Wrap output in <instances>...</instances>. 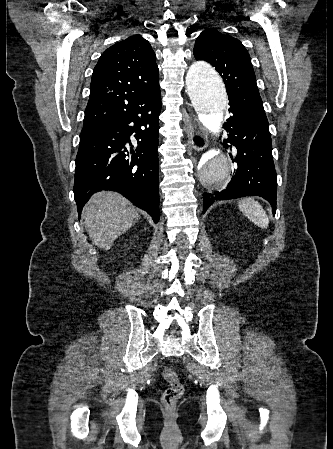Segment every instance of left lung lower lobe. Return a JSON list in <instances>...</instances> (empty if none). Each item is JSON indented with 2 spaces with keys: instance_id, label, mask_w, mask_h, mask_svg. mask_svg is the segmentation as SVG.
Masks as SVG:
<instances>
[{
  "instance_id": "obj_1",
  "label": "left lung lower lobe",
  "mask_w": 333,
  "mask_h": 449,
  "mask_svg": "<svg viewBox=\"0 0 333 449\" xmlns=\"http://www.w3.org/2000/svg\"><path fill=\"white\" fill-rule=\"evenodd\" d=\"M229 105L231 116L224 129L229 132L228 142L236 148L234 154H230L235 171L226 189L203 194V213L215 200L256 195L269 201L275 214L277 174L267 117L236 100H230Z\"/></svg>"
}]
</instances>
